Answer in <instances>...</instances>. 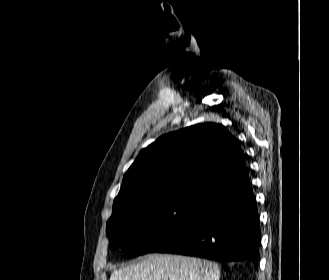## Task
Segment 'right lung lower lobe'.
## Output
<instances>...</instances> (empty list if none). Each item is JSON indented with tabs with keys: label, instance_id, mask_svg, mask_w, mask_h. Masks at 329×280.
I'll list each match as a JSON object with an SVG mask.
<instances>
[{
	"label": "right lung lower lobe",
	"instance_id": "1",
	"mask_svg": "<svg viewBox=\"0 0 329 280\" xmlns=\"http://www.w3.org/2000/svg\"><path fill=\"white\" fill-rule=\"evenodd\" d=\"M259 246V216L244 166L210 187L186 220L149 253L249 260L258 266Z\"/></svg>",
	"mask_w": 329,
	"mask_h": 280
}]
</instances>
